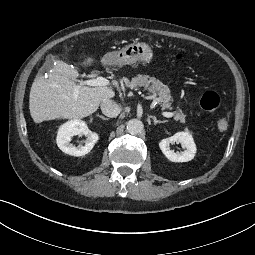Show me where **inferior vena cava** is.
Returning a JSON list of instances; mask_svg holds the SVG:
<instances>
[{
	"label": "inferior vena cava",
	"instance_id": "602c4592",
	"mask_svg": "<svg viewBox=\"0 0 255 255\" xmlns=\"http://www.w3.org/2000/svg\"><path fill=\"white\" fill-rule=\"evenodd\" d=\"M101 111L108 117H116L120 113V107L115 101L104 99L101 102Z\"/></svg>",
	"mask_w": 255,
	"mask_h": 255
}]
</instances>
